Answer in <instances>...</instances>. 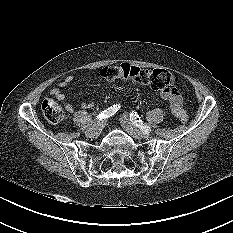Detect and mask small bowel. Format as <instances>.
<instances>
[{"label": "small bowel", "instance_id": "obj_1", "mask_svg": "<svg viewBox=\"0 0 233 233\" xmlns=\"http://www.w3.org/2000/svg\"><path fill=\"white\" fill-rule=\"evenodd\" d=\"M73 80L72 76H66L62 79L59 83V87L53 88L51 90V94L58 99L59 101L63 102L64 107L67 111L73 112V106L66 102L65 94L62 91V88L67 87ZM160 96L169 102V108L171 112L181 120L182 116H187L186 110L183 107V101L179 93L174 91H162ZM82 108L89 109L93 106L92 102H84L82 103Z\"/></svg>", "mask_w": 233, "mask_h": 233}]
</instances>
